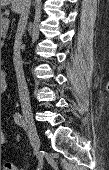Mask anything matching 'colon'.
I'll return each mask as SVG.
<instances>
[{
  "instance_id": "5ec220e1",
  "label": "colon",
  "mask_w": 109,
  "mask_h": 170,
  "mask_svg": "<svg viewBox=\"0 0 109 170\" xmlns=\"http://www.w3.org/2000/svg\"><path fill=\"white\" fill-rule=\"evenodd\" d=\"M4 170H25V169L22 167L15 166L13 164H5Z\"/></svg>"
}]
</instances>
